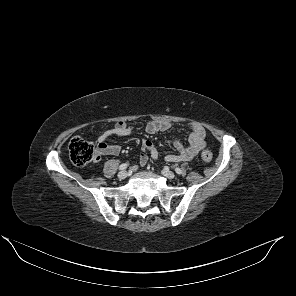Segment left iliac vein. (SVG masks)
I'll return each mask as SVG.
<instances>
[{
    "mask_svg": "<svg viewBox=\"0 0 296 296\" xmlns=\"http://www.w3.org/2000/svg\"><path fill=\"white\" fill-rule=\"evenodd\" d=\"M162 174H163L166 178H168V179H170V180H172V179L175 178V174H174V172L170 171V170L167 169V168H165V169L162 170Z\"/></svg>",
    "mask_w": 296,
    "mask_h": 296,
    "instance_id": "left-iliac-vein-1",
    "label": "left iliac vein"
}]
</instances>
